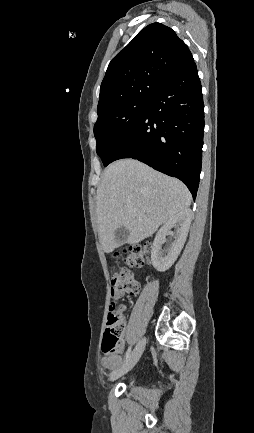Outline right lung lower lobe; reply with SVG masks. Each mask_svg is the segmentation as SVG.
Masks as SVG:
<instances>
[{"instance_id": "98d812e1", "label": "right lung lower lobe", "mask_w": 254, "mask_h": 433, "mask_svg": "<svg viewBox=\"0 0 254 433\" xmlns=\"http://www.w3.org/2000/svg\"><path fill=\"white\" fill-rule=\"evenodd\" d=\"M204 104L194 60L168 79L121 141L110 163L137 159L180 179L196 197L202 162Z\"/></svg>"}]
</instances>
